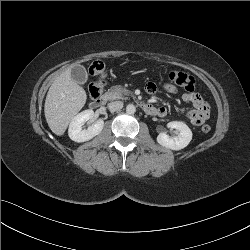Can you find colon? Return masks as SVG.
Segmentation results:
<instances>
[{"instance_id": "obj_1", "label": "colon", "mask_w": 250, "mask_h": 250, "mask_svg": "<svg viewBox=\"0 0 250 250\" xmlns=\"http://www.w3.org/2000/svg\"><path fill=\"white\" fill-rule=\"evenodd\" d=\"M89 73L95 78L89 85V95L93 99L101 95L106 84L107 71L104 62L100 60L94 61L89 67ZM167 77L170 82L188 92H192L195 88V79L185 72L172 70L167 73ZM201 129L204 133H208L211 127L204 124Z\"/></svg>"}]
</instances>
